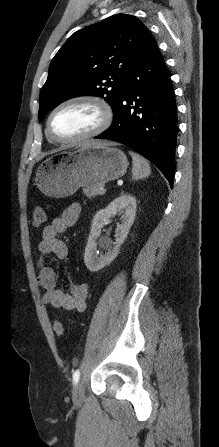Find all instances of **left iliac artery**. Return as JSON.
<instances>
[{"label": "left iliac artery", "instance_id": "1", "mask_svg": "<svg viewBox=\"0 0 219 447\" xmlns=\"http://www.w3.org/2000/svg\"><path fill=\"white\" fill-rule=\"evenodd\" d=\"M79 377H80V371H79V370H76V371L73 373V384H77V382H78V380H79Z\"/></svg>", "mask_w": 219, "mask_h": 447}]
</instances>
